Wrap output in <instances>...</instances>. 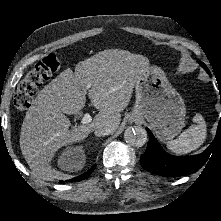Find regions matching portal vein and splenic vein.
Returning <instances> with one entry per match:
<instances>
[{"instance_id":"obj_1","label":"portal vein and splenic vein","mask_w":221,"mask_h":221,"mask_svg":"<svg viewBox=\"0 0 221 221\" xmlns=\"http://www.w3.org/2000/svg\"><path fill=\"white\" fill-rule=\"evenodd\" d=\"M92 121V117H91V115L89 114V113H85L84 114V117L82 118V120H81V124H88V123H90Z\"/></svg>"}]
</instances>
